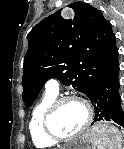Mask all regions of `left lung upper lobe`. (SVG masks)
Wrapping results in <instances>:
<instances>
[{
    "label": "left lung upper lobe",
    "mask_w": 124,
    "mask_h": 149,
    "mask_svg": "<svg viewBox=\"0 0 124 149\" xmlns=\"http://www.w3.org/2000/svg\"><path fill=\"white\" fill-rule=\"evenodd\" d=\"M70 7L75 11L73 20L63 19L57 11L27 35L22 98L28 107L50 78L86 94L119 65L116 37L102 12L84 2Z\"/></svg>",
    "instance_id": "1"
}]
</instances>
